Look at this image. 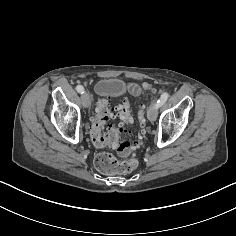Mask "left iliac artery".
I'll use <instances>...</instances> for the list:
<instances>
[{
    "instance_id": "left-iliac-artery-1",
    "label": "left iliac artery",
    "mask_w": 236,
    "mask_h": 236,
    "mask_svg": "<svg viewBox=\"0 0 236 236\" xmlns=\"http://www.w3.org/2000/svg\"><path fill=\"white\" fill-rule=\"evenodd\" d=\"M169 97V94L167 92H164L160 99L157 101L156 107L159 108L161 105H163Z\"/></svg>"
}]
</instances>
